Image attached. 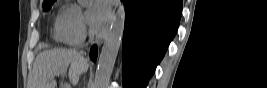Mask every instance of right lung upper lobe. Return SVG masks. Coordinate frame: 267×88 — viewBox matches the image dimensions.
<instances>
[{"label":"right lung upper lobe","instance_id":"cb5924a9","mask_svg":"<svg viewBox=\"0 0 267 88\" xmlns=\"http://www.w3.org/2000/svg\"><path fill=\"white\" fill-rule=\"evenodd\" d=\"M47 1H51V0H45V2H47Z\"/></svg>","mask_w":267,"mask_h":88}]
</instances>
